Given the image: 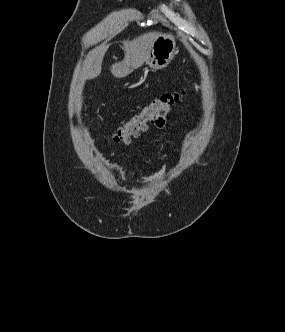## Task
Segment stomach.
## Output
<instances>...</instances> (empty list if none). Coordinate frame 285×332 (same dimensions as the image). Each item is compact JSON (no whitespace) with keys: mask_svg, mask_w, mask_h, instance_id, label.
<instances>
[{"mask_svg":"<svg viewBox=\"0 0 285 332\" xmlns=\"http://www.w3.org/2000/svg\"><path fill=\"white\" fill-rule=\"evenodd\" d=\"M177 52L175 37L170 33L160 34L153 43L147 64L153 69H163Z\"/></svg>","mask_w":285,"mask_h":332,"instance_id":"obj_1","label":"stomach"}]
</instances>
